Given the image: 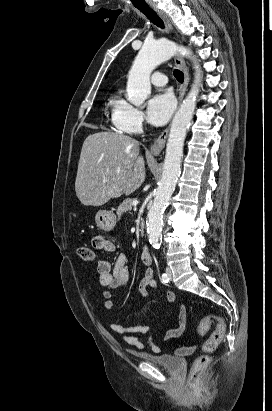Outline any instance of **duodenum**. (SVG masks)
<instances>
[{"mask_svg":"<svg viewBox=\"0 0 272 411\" xmlns=\"http://www.w3.org/2000/svg\"><path fill=\"white\" fill-rule=\"evenodd\" d=\"M141 259L145 264H151L153 261L151 251L147 246H143L141 250Z\"/></svg>","mask_w":272,"mask_h":411,"instance_id":"duodenum-1","label":"duodenum"}]
</instances>
